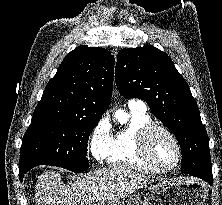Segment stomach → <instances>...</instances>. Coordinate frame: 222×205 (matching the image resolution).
<instances>
[{
    "instance_id": "1",
    "label": "stomach",
    "mask_w": 222,
    "mask_h": 205,
    "mask_svg": "<svg viewBox=\"0 0 222 205\" xmlns=\"http://www.w3.org/2000/svg\"><path fill=\"white\" fill-rule=\"evenodd\" d=\"M207 195V188L198 181L163 179L150 185L142 203L143 205H204ZM139 202V194L132 192L116 199L114 205H138Z\"/></svg>"
}]
</instances>
